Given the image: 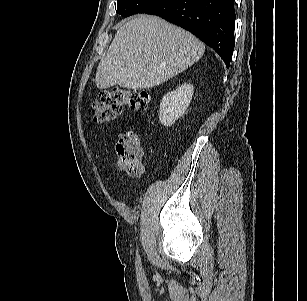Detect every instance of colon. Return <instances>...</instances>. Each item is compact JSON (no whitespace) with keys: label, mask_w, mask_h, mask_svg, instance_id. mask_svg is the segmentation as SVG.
I'll return each instance as SVG.
<instances>
[{"label":"colon","mask_w":307,"mask_h":301,"mask_svg":"<svg viewBox=\"0 0 307 301\" xmlns=\"http://www.w3.org/2000/svg\"><path fill=\"white\" fill-rule=\"evenodd\" d=\"M149 101L150 95L141 89L115 88L105 91L93 103V118L97 122H110L120 115L125 107L134 111L146 110ZM115 153L121 171L132 176L142 173L143 151L134 132L128 131L119 136Z\"/></svg>","instance_id":"1"}]
</instances>
